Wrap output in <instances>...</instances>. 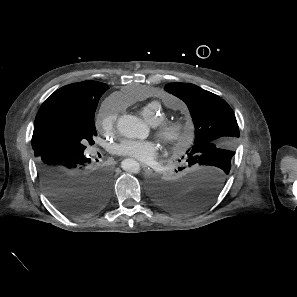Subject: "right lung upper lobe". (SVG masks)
Listing matches in <instances>:
<instances>
[{"label":"right lung upper lobe","mask_w":297,"mask_h":297,"mask_svg":"<svg viewBox=\"0 0 297 297\" xmlns=\"http://www.w3.org/2000/svg\"><path fill=\"white\" fill-rule=\"evenodd\" d=\"M108 89L104 83L97 81H84L75 84L66 85L55 91L40 107L35 123L32 136V147L35 156L41 150L38 147V138L42 125L49 115L56 109L63 106L84 109L97 107L98 101L102 94Z\"/></svg>","instance_id":"cb5924a9"}]
</instances>
